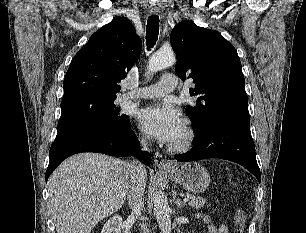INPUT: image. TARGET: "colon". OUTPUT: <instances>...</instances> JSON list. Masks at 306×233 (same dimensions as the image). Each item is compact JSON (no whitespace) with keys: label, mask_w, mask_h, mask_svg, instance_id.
<instances>
[{"label":"colon","mask_w":306,"mask_h":233,"mask_svg":"<svg viewBox=\"0 0 306 233\" xmlns=\"http://www.w3.org/2000/svg\"><path fill=\"white\" fill-rule=\"evenodd\" d=\"M234 233H243L246 224V214L244 210L239 209L234 214Z\"/></svg>","instance_id":"obj_1"}]
</instances>
